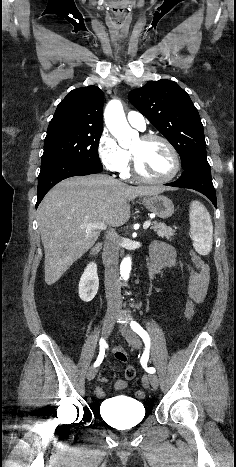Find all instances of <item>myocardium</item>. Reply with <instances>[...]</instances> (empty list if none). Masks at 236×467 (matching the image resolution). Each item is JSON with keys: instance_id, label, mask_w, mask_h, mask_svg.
<instances>
[{"instance_id": "myocardium-1", "label": "myocardium", "mask_w": 236, "mask_h": 467, "mask_svg": "<svg viewBox=\"0 0 236 467\" xmlns=\"http://www.w3.org/2000/svg\"><path fill=\"white\" fill-rule=\"evenodd\" d=\"M140 139L143 142H150V141L158 140V141H161L163 144H165V146L168 148V150H169V152H170V154L172 156V159H173V169L167 176L162 177V178L148 177V176L144 175L139 170L137 157L131 151V164H132L131 170H132L133 175L137 179H139V180H141L143 182L154 183V184L167 183V182H170L171 180H173L178 175V173L180 172V169H181L180 156H179L176 148L174 147V145L166 137L158 135V134H145Z\"/></svg>"}]
</instances>
